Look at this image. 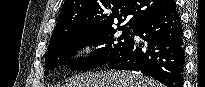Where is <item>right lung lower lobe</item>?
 <instances>
[{
  "mask_svg": "<svg viewBox=\"0 0 205 87\" xmlns=\"http://www.w3.org/2000/svg\"><path fill=\"white\" fill-rule=\"evenodd\" d=\"M134 35L147 42L128 43L106 64L109 69L140 71L167 87H183L185 52L181 20L173 1L138 24Z\"/></svg>",
  "mask_w": 205,
  "mask_h": 87,
  "instance_id": "98d812e1",
  "label": "right lung lower lobe"
}]
</instances>
